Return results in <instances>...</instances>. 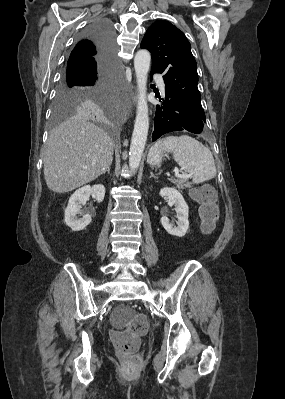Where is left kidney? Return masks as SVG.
I'll use <instances>...</instances> for the list:
<instances>
[{
  "instance_id": "5707ae66",
  "label": "left kidney",
  "mask_w": 285,
  "mask_h": 399,
  "mask_svg": "<svg viewBox=\"0 0 285 399\" xmlns=\"http://www.w3.org/2000/svg\"><path fill=\"white\" fill-rule=\"evenodd\" d=\"M160 196H165L168 198V205L175 206L176 218L178 219L177 227H173L166 216L161 218V223L164 229L173 236L183 237L185 236L188 228V212L189 208L185 202L181 193L175 188L165 187L160 190Z\"/></svg>"
}]
</instances>
